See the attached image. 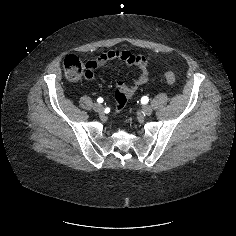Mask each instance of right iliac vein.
<instances>
[{"label": "right iliac vein", "instance_id": "1", "mask_svg": "<svg viewBox=\"0 0 236 236\" xmlns=\"http://www.w3.org/2000/svg\"><path fill=\"white\" fill-rule=\"evenodd\" d=\"M93 108L96 112H99V113L103 112V109H104L103 106L99 103L95 104Z\"/></svg>", "mask_w": 236, "mask_h": 236}]
</instances>
